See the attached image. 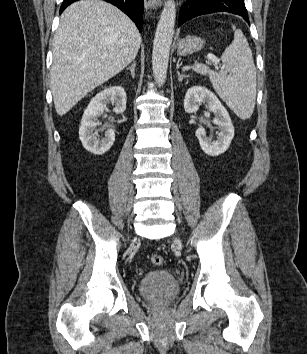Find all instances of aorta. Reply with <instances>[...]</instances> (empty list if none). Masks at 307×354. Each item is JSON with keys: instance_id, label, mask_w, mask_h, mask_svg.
Masks as SVG:
<instances>
[{"instance_id": "obj_1", "label": "aorta", "mask_w": 307, "mask_h": 354, "mask_svg": "<svg viewBox=\"0 0 307 354\" xmlns=\"http://www.w3.org/2000/svg\"><path fill=\"white\" fill-rule=\"evenodd\" d=\"M176 20V5L174 0H167L164 4L157 25L152 52L153 76L159 86L166 80L169 53L174 35Z\"/></svg>"}]
</instances>
